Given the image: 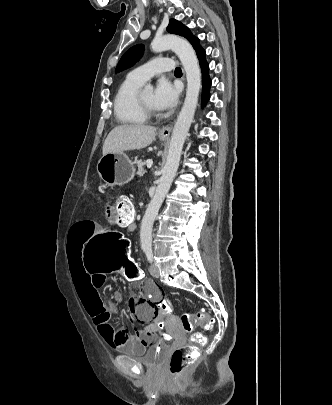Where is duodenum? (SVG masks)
<instances>
[{"mask_svg": "<svg viewBox=\"0 0 332 405\" xmlns=\"http://www.w3.org/2000/svg\"><path fill=\"white\" fill-rule=\"evenodd\" d=\"M127 228L130 230V231H135L136 229H137V222H136V219L135 218H132V219H130L128 222H127Z\"/></svg>", "mask_w": 332, "mask_h": 405, "instance_id": "duodenum-1", "label": "duodenum"}]
</instances>
